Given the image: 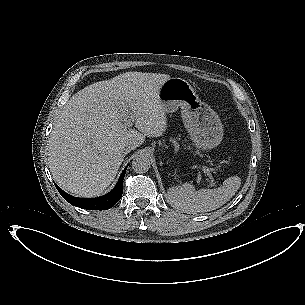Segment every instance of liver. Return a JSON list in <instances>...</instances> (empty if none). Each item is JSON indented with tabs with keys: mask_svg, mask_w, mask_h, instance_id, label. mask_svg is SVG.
Instances as JSON below:
<instances>
[{
	"mask_svg": "<svg viewBox=\"0 0 305 305\" xmlns=\"http://www.w3.org/2000/svg\"><path fill=\"white\" fill-rule=\"evenodd\" d=\"M169 78L161 74L149 88L115 77L70 98L48 140L49 168L63 190L79 197L103 194L124 161L122 145L138 147L146 136L163 134L167 118L158 92ZM125 118L138 131L129 128Z\"/></svg>",
	"mask_w": 305,
	"mask_h": 305,
	"instance_id": "1",
	"label": "liver"
}]
</instances>
